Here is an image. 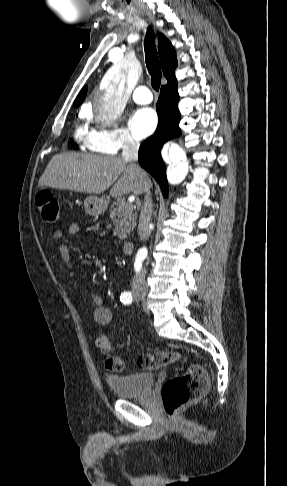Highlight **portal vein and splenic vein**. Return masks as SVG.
<instances>
[{
  "label": "portal vein and splenic vein",
  "instance_id": "18ae733b",
  "mask_svg": "<svg viewBox=\"0 0 287 486\" xmlns=\"http://www.w3.org/2000/svg\"><path fill=\"white\" fill-rule=\"evenodd\" d=\"M134 199H135L134 197H130V198H129V201H130V202H133V201H134Z\"/></svg>",
  "mask_w": 287,
  "mask_h": 486
}]
</instances>
